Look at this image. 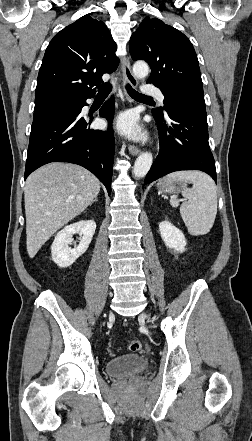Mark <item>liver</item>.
Listing matches in <instances>:
<instances>
[{
    "label": "liver",
    "instance_id": "6515ba94",
    "mask_svg": "<svg viewBox=\"0 0 252 441\" xmlns=\"http://www.w3.org/2000/svg\"><path fill=\"white\" fill-rule=\"evenodd\" d=\"M99 191L100 181L79 165L55 162L34 171L24 188L29 257L91 205Z\"/></svg>",
    "mask_w": 252,
    "mask_h": 441
}]
</instances>
